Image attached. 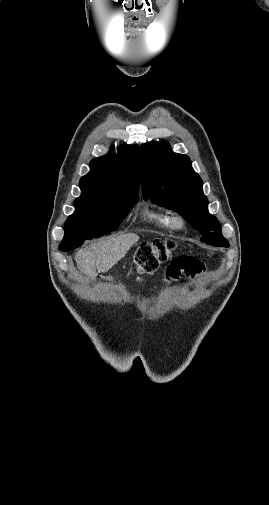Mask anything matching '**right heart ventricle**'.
Instances as JSON below:
<instances>
[{"mask_svg":"<svg viewBox=\"0 0 269 505\" xmlns=\"http://www.w3.org/2000/svg\"><path fill=\"white\" fill-rule=\"evenodd\" d=\"M142 219L161 230H172L171 215L162 209H155L146 206L141 211Z\"/></svg>","mask_w":269,"mask_h":505,"instance_id":"1","label":"right heart ventricle"}]
</instances>
